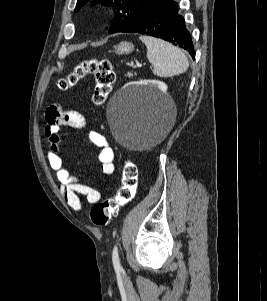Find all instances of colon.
I'll return each mask as SVG.
<instances>
[{"mask_svg":"<svg viewBox=\"0 0 267 301\" xmlns=\"http://www.w3.org/2000/svg\"><path fill=\"white\" fill-rule=\"evenodd\" d=\"M85 75H93L95 78L93 104L99 108L107 100L115 82V72L109 60L91 58L82 61L69 75L58 81V87L63 90L67 89ZM137 182L136 166L131 162H126L117 192L92 207L90 212L92 222L98 227L108 226L118 209L134 198Z\"/></svg>","mask_w":267,"mask_h":301,"instance_id":"obj_1","label":"colon"}]
</instances>
